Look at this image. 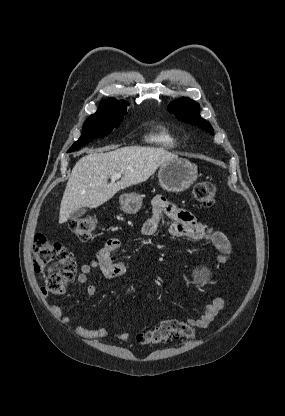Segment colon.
I'll list each match as a JSON object with an SVG mask.
<instances>
[{
    "mask_svg": "<svg viewBox=\"0 0 285 416\" xmlns=\"http://www.w3.org/2000/svg\"><path fill=\"white\" fill-rule=\"evenodd\" d=\"M216 185L211 181H202L193 188V196L204 206L216 202ZM98 224L93 215L83 216L70 223L71 231L81 240L92 238ZM34 270L45 274L46 290L51 293H62L72 280L76 271V262L68 250L42 234H37L33 242ZM194 336L193 327L176 319H167L158 326L137 335L140 343L145 345L167 344L174 340H189Z\"/></svg>",
    "mask_w": 285,
    "mask_h": 416,
    "instance_id": "1",
    "label": "colon"
}]
</instances>
